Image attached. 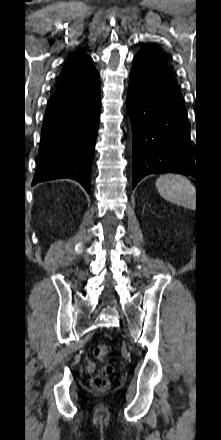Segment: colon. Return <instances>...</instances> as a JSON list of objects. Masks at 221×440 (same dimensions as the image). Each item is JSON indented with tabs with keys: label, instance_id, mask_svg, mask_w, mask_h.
<instances>
[{
	"label": "colon",
	"instance_id": "5ec220e1",
	"mask_svg": "<svg viewBox=\"0 0 221 440\" xmlns=\"http://www.w3.org/2000/svg\"><path fill=\"white\" fill-rule=\"evenodd\" d=\"M111 353V347L107 344L97 345L94 350V356L100 360L104 361ZM113 373V366L111 364H106L100 373L93 377L91 384L97 390H106L110 386L109 376Z\"/></svg>",
	"mask_w": 221,
	"mask_h": 440
}]
</instances>
